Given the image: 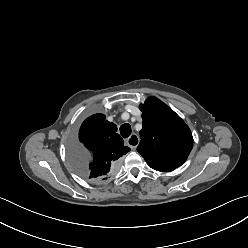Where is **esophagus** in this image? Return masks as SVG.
Instances as JSON below:
<instances>
[{
	"instance_id": "34e87169",
	"label": "esophagus",
	"mask_w": 248,
	"mask_h": 248,
	"mask_svg": "<svg viewBox=\"0 0 248 248\" xmlns=\"http://www.w3.org/2000/svg\"><path fill=\"white\" fill-rule=\"evenodd\" d=\"M140 142L139 137L136 134H132L126 141L127 145L131 148V149H136V147L138 146Z\"/></svg>"
}]
</instances>
